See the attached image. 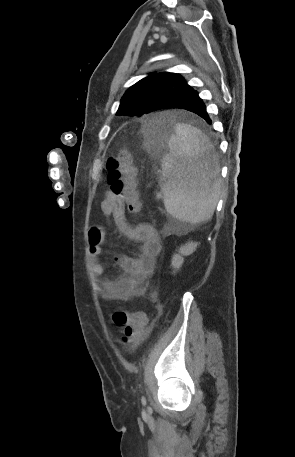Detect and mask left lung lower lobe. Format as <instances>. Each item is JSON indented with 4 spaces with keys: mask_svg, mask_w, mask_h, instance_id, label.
<instances>
[{
    "mask_svg": "<svg viewBox=\"0 0 295 457\" xmlns=\"http://www.w3.org/2000/svg\"><path fill=\"white\" fill-rule=\"evenodd\" d=\"M165 108H181L188 111H191L200 117H202L206 122L211 123L208 113L206 112L205 104L202 99L198 96L197 91L191 87L185 88L179 91L176 94L170 95L165 99L161 100L155 107L153 111L165 109ZM166 127L163 123H155L151 125L152 130L158 132L161 129Z\"/></svg>",
    "mask_w": 295,
    "mask_h": 457,
    "instance_id": "obj_1",
    "label": "left lung lower lobe"
}]
</instances>
